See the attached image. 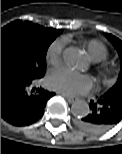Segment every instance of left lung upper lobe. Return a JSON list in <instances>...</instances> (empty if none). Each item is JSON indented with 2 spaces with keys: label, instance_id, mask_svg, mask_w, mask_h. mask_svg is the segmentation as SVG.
Listing matches in <instances>:
<instances>
[{
  "label": "left lung upper lobe",
  "instance_id": "5c2ea615",
  "mask_svg": "<svg viewBox=\"0 0 122 154\" xmlns=\"http://www.w3.org/2000/svg\"><path fill=\"white\" fill-rule=\"evenodd\" d=\"M106 37L109 38L114 47L117 49L121 60V69L118 80L115 85L106 93L111 94V96H113L119 103L122 104V41L111 34H106Z\"/></svg>",
  "mask_w": 122,
  "mask_h": 154
}]
</instances>
